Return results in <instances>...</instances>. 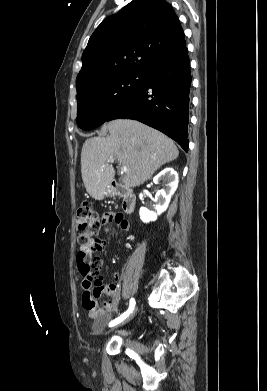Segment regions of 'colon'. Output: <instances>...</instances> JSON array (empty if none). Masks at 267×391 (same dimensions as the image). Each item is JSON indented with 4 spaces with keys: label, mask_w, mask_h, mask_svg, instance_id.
I'll list each match as a JSON object with an SVG mask.
<instances>
[{
    "label": "colon",
    "mask_w": 267,
    "mask_h": 391,
    "mask_svg": "<svg viewBox=\"0 0 267 391\" xmlns=\"http://www.w3.org/2000/svg\"><path fill=\"white\" fill-rule=\"evenodd\" d=\"M101 225L98 213L90 205L83 204L77 209L76 232L80 252L93 254L102 249L103 242L98 238Z\"/></svg>",
    "instance_id": "colon-1"
}]
</instances>
